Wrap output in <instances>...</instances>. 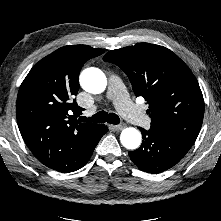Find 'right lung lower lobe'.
I'll use <instances>...</instances> for the list:
<instances>
[{
  "label": "right lung lower lobe",
  "instance_id": "98d812e1",
  "mask_svg": "<svg viewBox=\"0 0 221 221\" xmlns=\"http://www.w3.org/2000/svg\"><path fill=\"white\" fill-rule=\"evenodd\" d=\"M107 131H108V129L104 125H102V128L100 129V134H99L98 138L94 141V143H92L89 147H87L83 151L81 158L72 166H68V167H66V169L59 170V172H62V173L73 172V171H76V170L80 169L81 167H83L88 162L89 158L91 157V155L94 151V148L98 144L99 140Z\"/></svg>",
  "mask_w": 221,
  "mask_h": 221
}]
</instances>
